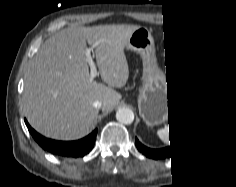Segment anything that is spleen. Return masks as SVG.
Returning a JSON list of instances; mask_svg holds the SVG:
<instances>
[{
  "mask_svg": "<svg viewBox=\"0 0 236 187\" xmlns=\"http://www.w3.org/2000/svg\"><path fill=\"white\" fill-rule=\"evenodd\" d=\"M157 135L164 142L169 144V127L165 126L163 129L157 131Z\"/></svg>",
  "mask_w": 236,
  "mask_h": 187,
  "instance_id": "1",
  "label": "spleen"
}]
</instances>
